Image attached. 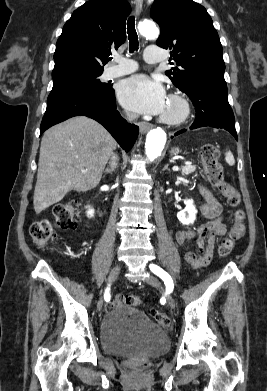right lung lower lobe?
Segmentation results:
<instances>
[{
  "instance_id": "98d812e1",
  "label": "right lung lower lobe",
  "mask_w": 267,
  "mask_h": 391,
  "mask_svg": "<svg viewBox=\"0 0 267 391\" xmlns=\"http://www.w3.org/2000/svg\"><path fill=\"white\" fill-rule=\"evenodd\" d=\"M78 115L88 116L102 124L126 152L137 138L138 127L128 124L116 110L115 91L111 85L106 91L67 88L51 92L40 134L49 127Z\"/></svg>"
}]
</instances>
